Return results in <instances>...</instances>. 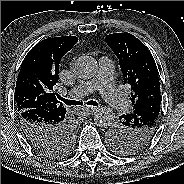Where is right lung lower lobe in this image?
I'll list each match as a JSON object with an SVG mask.
<instances>
[{
    "instance_id": "right-lung-lower-lobe-1",
    "label": "right lung lower lobe",
    "mask_w": 184,
    "mask_h": 184,
    "mask_svg": "<svg viewBox=\"0 0 184 184\" xmlns=\"http://www.w3.org/2000/svg\"><path fill=\"white\" fill-rule=\"evenodd\" d=\"M66 109L47 111L29 109L18 113L19 123L28 142L38 151L57 148L66 130L73 126L65 118Z\"/></svg>"
}]
</instances>
